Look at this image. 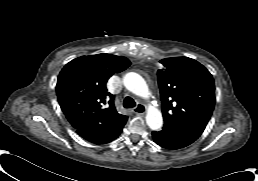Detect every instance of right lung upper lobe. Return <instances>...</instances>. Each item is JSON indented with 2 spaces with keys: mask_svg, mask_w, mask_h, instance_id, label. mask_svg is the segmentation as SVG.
Masks as SVG:
<instances>
[{
  "mask_svg": "<svg viewBox=\"0 0 258 181\" xmlns=\"http://www.w3.org/2000/svg\"><path fill=\"white\" fill-rule=\"evenodd\" d=\"M128 66L127 58L111 54L82 56L64 66L57 81V97L77 131L127 118L116 111L114 96L107 92L106 82Z\"/></svg>",
  "mask_w": 258,
  "mask_h": 181,
  "instance_id": "right-lung-upper-lobe-1",
  "label": "right lung upper lobe"
}]
</instances>
